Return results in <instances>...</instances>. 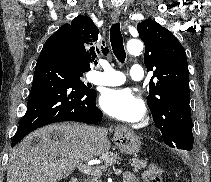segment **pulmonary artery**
I'll return each instance as SVG.
<instances>
[{
  "mask_svg": "<svg viewBox=\"0 0 211 182\" xmlns=\"http://www.w3.org/2000/svg\"><path fill=\"white\" fill-rule=\"evenodd\" d=\"M103 71L92 72L90 80L99 85L115 86L125 82V76L122 72L117 71L109 65H103ZM130 77L133 80L139 81L144 77V70L141 65L135 64L130 69Z\"/></svg>",
  "mask_w": 211,
  "mask_h": 182,
  "instance_id": "e3ab8cb5",
  "label": "pulmonary artery"
}]
</instances>
